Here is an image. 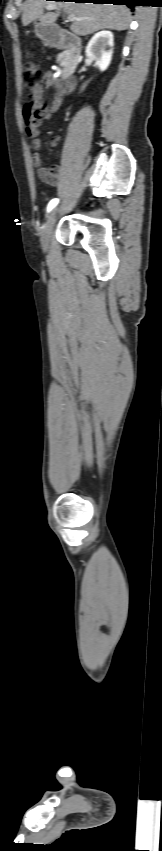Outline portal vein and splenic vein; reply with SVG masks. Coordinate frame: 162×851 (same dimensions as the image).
<instances>
[{
	"instance_id": "18ae733b",
	"label": "portal vein and splenic vein",
	"mask_w": 162,
	"mask_h": 851,
	"mask_svg": "<svg viewBox=\"0 0 162 851\" xmlns=\"http://www.w3.org/2000/svg\"><path fill=\"white\" fill-rule=\"evenodd\" d=\"M47 9H48V10H52V9H54V7H52V6H48V7H47ZM80 19H81V18H76V17H75V16H73V15H68V21H75V20H80Z\"/></svg>"
}]
</instances>
